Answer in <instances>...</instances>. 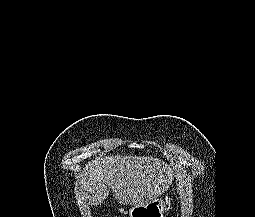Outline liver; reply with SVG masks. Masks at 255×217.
I'll return each instance as SVG.
<instances>
[{
  "label": "liver",
  "instance_id": "liver-1",
  "mask_svg": "<svg viewBox=\"0 0 255 217\" xmlns=\"http://www.w3.org/2000/svg\"><path fill=\"white\" fill-rule=\"evenodd\" d=\"M173 176L169 166L149 156H109L86 167L76 185L81 206L99 205L112 189L123 205L143 206L168 190Z\"/></svg>",
  "mask_w": 255,
  "mask_h": 217
}]
</instances>
